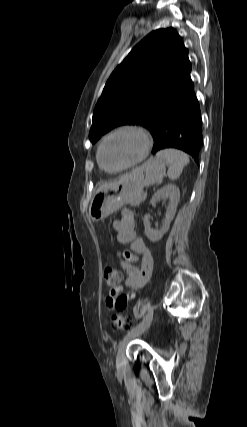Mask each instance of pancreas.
<instances>
[{
  "label": "pancreas",
  "instance_id": "obj_1",
  "mask_svg": "<svg viewBox=\"0 0 247 427\" xmlns=\"http://www.w3.org/2000/svg\"><path fill=\"white\" fill-rule=\"evenodd\" d=\"M145 198H146V194H142L141 196H139L137 199H135L132 203H131V205L132 206H139L140 205V203H142L144 200H145Z\"/></svg>",
  "mask_w": 247,
  "mask_h": 427
}]
</instances>
